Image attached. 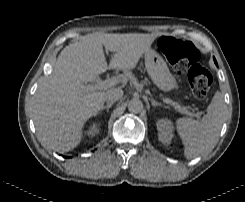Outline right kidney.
I'll list each match as a JSON object with an SVG mask.
<instances>
[{
    "mask_svg": "<svg viewBox=\"0 0 245 202\" xmlns=\"http://www.w3.org/2000/svg\"><path fill=\"white\" fill-rule=\"evenodd\" d=\"M99 133V125L96 123H93V125H91L89 127V130L87 131V134L91 137L95 136L96 134Z\"/></svg>",
    "mask_w": 245,
    "mask_h": 202,
    "instance_id": "1",
    "label": "right kidney"
}]
</instances>
